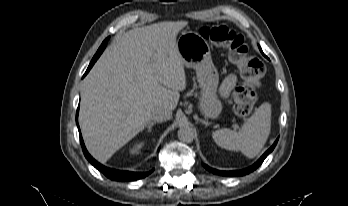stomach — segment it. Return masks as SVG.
Wrapping results in <instances>:
<instances>
[{"label":"stomach","instance_id":"stomach-1","mask_svg":"<svg viewBox=\"0 0 348 206\" xmlns=\"http://www.w3.org/2000/svg\"><path fill=\"white\" fill-rule=\"evenodd\" d=\"M176 46L184 66L196 71L201 92L199 109L206 119H215L222 104L217 97L219 75L210 53V47L205 39L194 32H183Z\"/></svg>","mask_w":348,"mask_h":206}]
</instances>
